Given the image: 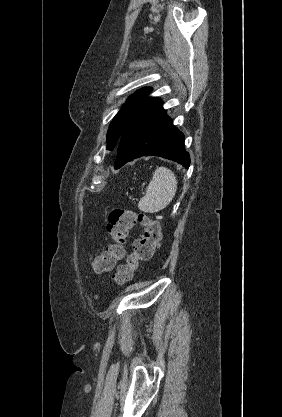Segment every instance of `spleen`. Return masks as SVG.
I'll return each instance as SVG.
<instances>
[{
	"label": "spleen",
	"mask_w": 282,
	"mask_h": 417,
	"mask_svg": "<svg viewBox=\"0 0 282 417\" xmlns=\"http://www.w3.org/2000/svg\"><path fill=\"white\" fill-rule=\"evenodd\" d=\"M177 190V178L166 166L156 168L145 192L138 202V209L143 213H159L170 204Z\"/></svg>",
	"instance_id": "spleen-1"
}]
</instances>
